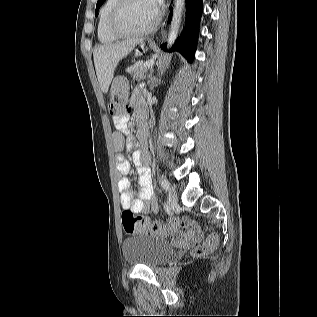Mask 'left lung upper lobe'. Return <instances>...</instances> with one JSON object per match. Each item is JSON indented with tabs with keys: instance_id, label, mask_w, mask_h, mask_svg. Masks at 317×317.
<instances>
[{
	"instance_id": "5c2ea615",
	"label": "left lung upper lobe",
	"mask_w": 317,
	"mask_h": 317,
	"mask_svg": "<svg viewBox=\"0 0 317 317\" xmlns=\"http://www.w3.org/2000/svg\"><path fill=\"white\" fill-rule=\"evenodd\" d=\"M105 0H98L96 4V14L98 13L99 7L104 3Z\"/></svg>"
}]
</instances>
